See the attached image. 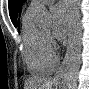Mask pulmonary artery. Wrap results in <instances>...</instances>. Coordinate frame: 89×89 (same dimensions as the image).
I'll return each instance as SVG.
<instances>
[{
	"instance_id": "pulmonary-artery-1",
	"label": "pulmonary artery",
	"mask_w": 89,
	"mask_h": 89,
	"mask_svg": "<svg viewBox=\"0 0 89 89\" xmlns=\"http://www.w3.org/2000/svg\"><path fill=\"white\" fill-rule=\"evenodd\" d=\"M51 2H52L51 0L32 1L30 7L28 8V12L34 13L42 4H49Z\"/></svg>"
}]
</instances>
